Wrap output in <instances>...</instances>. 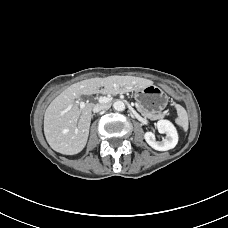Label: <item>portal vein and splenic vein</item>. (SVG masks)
I'll return each mask as SVG.
<instances>
[{
    "label": "portal vein and splenic vein",
    "mask_w": 228,
    "mask_h": 228,
    "mask_svg": "<svg viewBox=\"0 0 228 228\" xmlns=\"http://www.w3.org/2000/svg\"><path fill=\"white\" fill-rule=\"evenodd\" d=\"M109 101H111L110 97H106V96L99 97V102L101 103H108ZM77 104L80 106V110L85 107V102L83 101H78Z\"/></svg>",
    "instance_id": "obj_1"
}]
</instances>
